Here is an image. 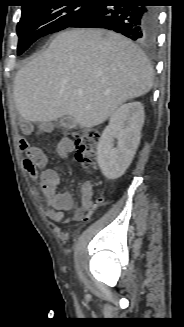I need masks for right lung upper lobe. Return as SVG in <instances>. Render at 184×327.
I'll use <instances>...</instances> for the list:
<instances>
[{"label":"right lung upper lobe","mask_w":184,"mask_h":327,"mask_svg":"<svg viewBox=\"0 0 184 327\" xmlns=\"http://www.w3.org/2000/svg\"><path fill=\"white\" fill-rule=\"evenodd\" d=\"M25 3H27L26 5H24L22 7V9L26 8L27 6H30L32 4L38 3V2H42L44 0H23Z\"/></svg>","instance_id":"obj_1"}]
</instances>
